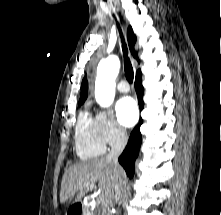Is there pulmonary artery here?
Instances as JSON below:
<instances>
[{"label":"pulmonary artery","mask_w":221,"mask_h":215,"mask_svg":"<svg viewBox=\"0 0 221 215\" xmlns=\"http://www.w3.org/2000/svg\"><path fill=\"white\" fill-rule=\"evenodd\" d=\"M117 89L122 93H127L130 90L128 83L125 80H121L117 84Z\"/></svg>","instance_id":"1"}]
</instances>
